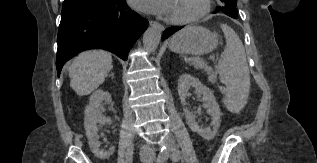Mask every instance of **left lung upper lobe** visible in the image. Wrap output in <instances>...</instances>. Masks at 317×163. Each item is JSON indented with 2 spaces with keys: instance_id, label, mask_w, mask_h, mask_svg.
I'll use <instances>...</instances> for the list:
<instances>
[{
  "instance_id": "5c2ea615",
  "label": "left lung upper lobe",
  "mask_w": 317,
  "mask_h": 163,
  "mask_svg": "<svg viewBox=\"0 0 317 163\" xmlns=\"http://www.w3.org/2000/svg\"><path fill=\"white\" fill-rule=\"evenodd\" d=\"M225 3L224 7H217V10H222L225 14L228 16H231L233 18L237 17V10H236V0H221Z\"/></svg>"
}]
</instances>
